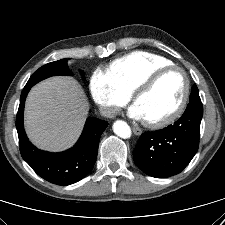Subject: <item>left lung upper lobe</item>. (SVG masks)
<instances>
[{
  "label": "left lung upper lobe",
  "mask_w": 225,
  "mask_h": 225,
  "mask_svg": "<svg viewBox=\"0 0 225 225\" xmlns=\"http://www.w3.org/2000/svg\"><path fill=\"white\" fill-rule=\"evenodd\" d=\"M200 100L198 88L196 85L192 87L190 101Z\"/></svg>",
  "instance_id": "obj_1"
}]
</instances>
